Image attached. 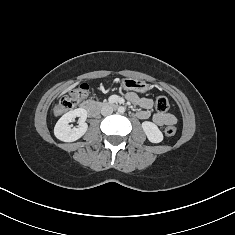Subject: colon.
Segmentation results:
<instances>
[{"label": "colon", "mask_w": 235, "mask_h": 235, "mask_svg": "<svg viewBox=\"0 0 235 235\" xmlns=\"http://www.w3.org/2000/svg\"><path fill=\"white\" fill-rule=\"evenodd\" d=\"M89 95V86L83 84L74 90H72L68 95L63 97L55 106L54 114L62 115L66 112L73 110L78 103L86 99ZM156 109L159 113H166L169 110L170 103L167 97L159 96L155 103ZM176 127L174 125H169L165 128V134L167 136H173L176 134Z\"/></svg>", "instance_id": "colon-1"}]
</instances>
